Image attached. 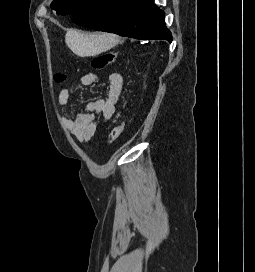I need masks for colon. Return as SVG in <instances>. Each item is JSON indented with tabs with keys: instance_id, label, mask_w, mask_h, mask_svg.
I'll list each match as a JSON object with an SVG mask.
<instances>
[{
	"instance_id": "1",
	"label": "colon",
	"mask_w": 255,
	"mask_h": 272,
	"mask_svg": "<svg viewBox=\"0 0 255 272\" xmlns=\"http://www.w3.org/2000/svg\"><path fill=\"white\" fill-rule=\"evenodd\" d=\"M117 57L118 54L116 52H107L97 55L92 59L91 66L94 70H103L111 63H113L117 59ZM54 78L57 82H63L66 80V75L59 73L56 74ZM123 128L124 123L120 122L111 129L107 137V142L109 145H112L117 141L123 131Z\"/></svg>"
}]
</instances>
